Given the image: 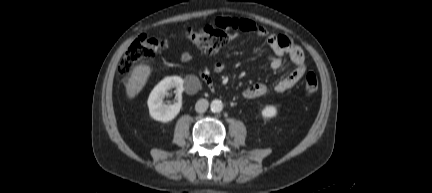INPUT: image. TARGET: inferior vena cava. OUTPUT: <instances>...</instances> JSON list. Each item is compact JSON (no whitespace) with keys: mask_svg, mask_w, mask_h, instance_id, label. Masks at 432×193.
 Instances as JSON below:
<instances>
[{"mask_svg":"<svg viewBox=\"0 0 432 193\" xmlns=\"http://www.w3.org/2000/svg\"><path fill=\"white\" fill-rule=\"evenodd\" d=\"M209 106V102L206 99H199L195 104V110L198 113H204Z\"/></svg>","mask_w":432,"mask_h":193,"instance_id":"obj_1","label":"inferior vena cava"}]
</instances>
